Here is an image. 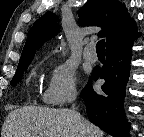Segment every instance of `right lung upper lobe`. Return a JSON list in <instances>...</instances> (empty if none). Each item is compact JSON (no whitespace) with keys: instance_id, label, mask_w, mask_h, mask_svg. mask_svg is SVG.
<instances>
[{"instance_id":"right-lung-upper-lobe-1","label":"right lung upper lobe","mask_w":144,"mask_h":137,"mask_svg":"<svg viewBox=\"0 0 144 137\" xmlns=\"http://www.w3.org/2000/svg\"><path fill=\"white\" fill-rule=\"evenodd\" d=\"M78 15L84 26H100L102 28L98 35L106 37L107 49L119 46L136 36V24L129 17L125 6L118 0H88L78 11ZM56 22H58V17L47 12L33 24L19 65L31 61L35 50L58 34L60 26Z\"/></svg>"}]
</instances>
